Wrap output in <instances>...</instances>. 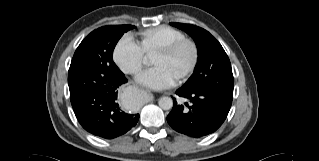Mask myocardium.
I'll list each match as a JSON object with an SVG mask.
<instances>
[{
	"label": "myocardium",
	"mask_w": 319,
	"mask_h": 161,
	"mask_svg": "<svg viewBox=\"0 0 319 161\" xmlns=\"http://www.w3.org/2000/svg\"><path fill=\"white\" fill-rule=\"evenodd\" d=\"M189 46L191 49V60L186 69L176 78L177 81H183L188 78L195 70L199 61V49L196 42L190 38H181L164 45L155 54L162 57H169L176 53L181 47Z\"/></svg>",
	"instance_id": "obj_1"
}]
</instances>
